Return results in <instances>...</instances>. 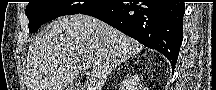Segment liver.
<instances>
[{
    "instance_id": "liver-1",
    "label": "liver",
    "mask_w": 216,
    "mask_h": 90,
    "mask_svg": "<svg viewBox=\"0 0 216 90\" xmlns=\"http://www.w3.org/2000/svg\"><path fill=\"white\" fill-rule=\"evenodd\" d=\"M142 50V44L101 20L83 14L62 16L28 48L27 90H102L114 68ZM83 66L87 78L79 86L75 80Z\"/></svg>"
}]
</instances>
